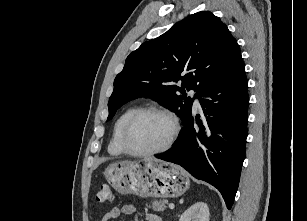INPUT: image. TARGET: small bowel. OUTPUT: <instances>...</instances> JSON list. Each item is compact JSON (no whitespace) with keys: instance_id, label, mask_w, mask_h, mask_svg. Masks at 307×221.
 Instances as JSON below:
<instances>
[{"instance_id":"c3829d8e","label":"small bowel","mask_w":307,"mask_h":221,"mask_svg":"<svg viewBox=\"0 0 307 221\" xmlns=\"http://www.w3.org/2000/svg\"><path fill=\"white\" fill-rule=\"evenodd\" d=\"M135 208L132 205H124L120 208H113L105 213L99 221H110L119 217L120 215H131L135 213ZM146 221H162L161 218L152 213H147L145 216Z\"/></svg>"}]
</instances>
